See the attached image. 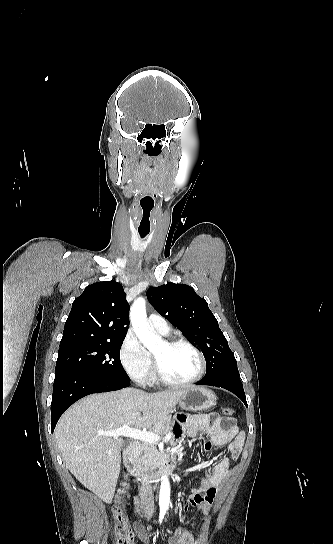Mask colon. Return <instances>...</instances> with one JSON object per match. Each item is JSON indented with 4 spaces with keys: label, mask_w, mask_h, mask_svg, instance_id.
<instances>
[{
    "label": "colon",
    "mask_w": 333,
    "mask_h": 544,
    "mask_svg": "<svg viewBox=\"0 0 333 544\" xmlns=\"http://www.w3.org/2000/svg\"><path fill=\"white\" fill-rule=\"evenodd\" d=\"M235 410L232 407H223L222 414L231 419ZM128 500L127 488H123L119 493L112 512L115 521L116 544H134L133 534L126 515L125 506Z\"/></svg>",
    "instance_id": "obj_1"
}]
</instances>
